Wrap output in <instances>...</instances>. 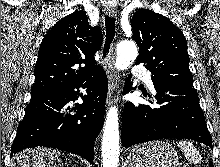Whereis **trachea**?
I'll return each mask as SVG.
<instances>
[{"label":"trachea","instance_id":"3493384b","mask_svg":"<svg viewBox=\"0 0 220 167\" xmlns=\"http://www.w3.org/2000/svg\"><path fill=\"white\" fill-rule=\"evenodd\" d=\"M105 26H106V40L104 44V58L109 53V49L111 47V43L113 42L115 36V19L110 16L105 17Z\"/></svg>","mask_w":220,"mask_h":167}]
</instances>
